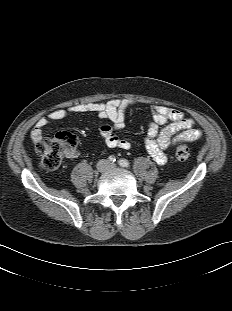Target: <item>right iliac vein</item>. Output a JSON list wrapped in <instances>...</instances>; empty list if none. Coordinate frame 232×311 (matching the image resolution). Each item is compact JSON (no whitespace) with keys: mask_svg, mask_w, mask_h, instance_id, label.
<instances>
[{"mask_svg":"<svg viewBox=\"0 0 232 311\" xmlns=\"http://www.w3.org/2000/svg\"><path fill=\"white\" fill-rule=\"evenodd\" d=\"M106 169H107L106 163L102 164V165L99 167V170H100V171H105Z\"/></svg>","mask_w":232,"mask_h":311,"instance_id":"63e3f726","label":"right iliac vein"}]
</instances>
